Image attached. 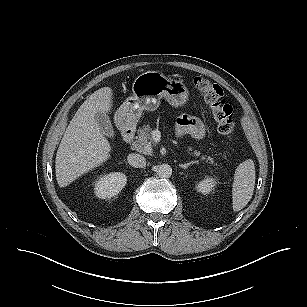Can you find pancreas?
<instances>
[{"instance_id": "obj_1", "label": "pancreas", "mask_w": 307, "mask_h": 307, "mask_svg": "<svg viewBox=\"0 0 307 307\" xmlns=\"http://www.w3.org/2000/svg\"><path fill=\"white\" fill-rule=\"evenodd\" d=\"M138 136L136 137V141L134 142V147L136 150L143 152L144 154H151L152 153V128L150 125H143L142 128L138 129L137 132ZM191 150V148H189ZM194 156H200L199 151H194L192 153ZM202 160H205L209 164H213L214 160L211 157L202 156Z\"/></svg>"}]
</instances>
